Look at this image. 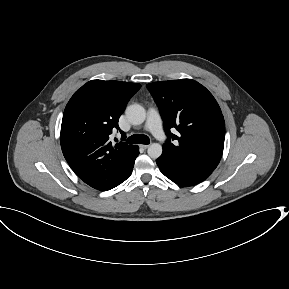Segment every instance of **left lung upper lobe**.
Wrapping results in <instances>:
<instances>
[{
    "instance_id": "left-lung-upper-lobe-1",
    "label": "left lung upper lobe",
    "mask_w": 289,
    "mask_h": 289,
    "mask_svg": "<svg viewBox=\"0 0 289 289\" xmlns=\"http://www.w3.org/2000/svg\"><path fill=\"white\" fill-rule=\"evenodd\" d=\"M147 88L159 107L168 136L162 156L215 169L223 153L225 122L213 95L191 79L155 82ZM173 128L178 136L170 132Z\"/></svg>"
}]
</instances>
